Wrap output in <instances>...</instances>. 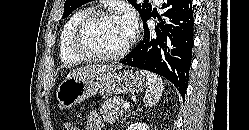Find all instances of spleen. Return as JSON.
Here are the masks:
<instances>
[{
	"label": "spleen",
	"mask_w": 249,
	"mask_h": 130,
	"mask_svg": "<svg viewBox=\"0 0 249 130\" xmlns=\"http://www.w3.org/2000/svg\"><path fill=\"white\" fill-rule=\"evenodd\" d=\"M141 73L145 76L148 86L143 102L145 106L151 107L157 104L162 96L164 90L163 80L151 72L142 71Z\"/></svg>",
	"instance_id": "1"
}]
</instances>
